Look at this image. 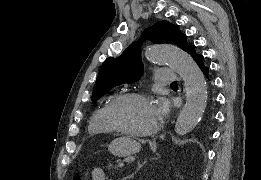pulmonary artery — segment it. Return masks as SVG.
Listing matches in <instances>:
<instances>
[{
	"label": "pulmonary artery",
	"instance_id": "pulmonary-artery-1",
	"mask_svg": "<svg viewBox=\"0 0 261 180\" xmlns=\"http://www.w3.org/2000/svg\"><path fill=\"white\" fill-rule=\"evenodd\" d=\"M181 72H170V67H157L156 77H181ZM181 83V78H154V83Z\"/></svg>",
	"mask_w": 261,
	"mask_h": 180
}]
</instances>
